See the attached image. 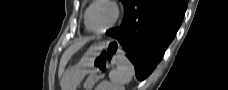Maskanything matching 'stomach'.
<instances>
[{"label": "stomach", "instance_id": "stomach-1", "mask_svg": "<svg viewBox=\"0 0 228 90\" xmlns=\"http://www.w3.org/2000/svg\"><path fill=\"white\" fill-rule=\"evenodd\" d=\"M120 48L115 42H100L91 46L75 66L63 76L64 90H76L85 75L108 68L116 62Z\"/></svg>", "mask_w": 228, "mask_h": 90}]
</instances>
